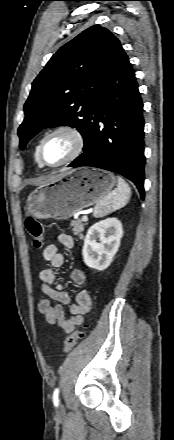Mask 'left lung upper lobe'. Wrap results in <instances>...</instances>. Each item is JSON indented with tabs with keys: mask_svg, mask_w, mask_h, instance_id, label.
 <instances>
[{
	"mask_svg": "<svg viewBox=\"0 0 174 440\" xmlns=\"http://www.w3.org/2000/svg\"><path fill=\"white\" fill-rule=\"evenodd\" d=\"M120 41L94 25L62 46L32 83L18 129L20 148L43 128L77 127L85 139L93 102L123 54Z\"/></svg>",
	"mask_w": 174,
	"mask_h": 440,
	"instance_id": "1",
	"label": "left lung upper lobe"
}]
</instances>
